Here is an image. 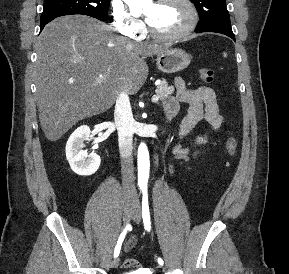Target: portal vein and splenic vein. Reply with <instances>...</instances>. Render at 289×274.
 <instances>
[{
    "label": "portal vein and splenic vein",
    "mask_w": 289,
    "mask_h": 274,
    "mask_svg": "<svg viewBox=\"0 0 289 274\" xmlns=\"http://www.w3.org/2000/svg\"><path fill=\"white\" fill-rule=\"evenodd\" d=\"M159 96L158 95H153V97H152V101L153 102H157L158 100H159Z\"/></svg>",
    "instance_id": "obj_1"
}]
</instances>
